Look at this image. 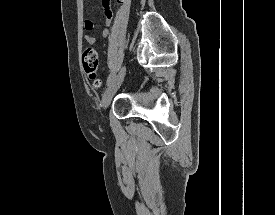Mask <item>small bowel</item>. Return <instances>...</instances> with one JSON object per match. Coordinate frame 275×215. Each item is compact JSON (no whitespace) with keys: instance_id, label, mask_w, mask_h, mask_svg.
Returning <instances> with one entry per match:
<instances>
[{"instance_id":"1","label":"small bowel","mask_w":275,"mask_h":215,"mask_svg":"<svg viewBox=\"0 0 275 215\" xmlns=\"http://www.w3.org/2000/svg\"><path fill=\"white\" fill-rule=\"evenodd\" d=\"M103 8H104V15L106 18V25H109L113 14L109 8L110 0H102ZM84 27L86 28L87 32L84 35V40L88 44H96L98 42H101L105 40L109 35V30L107 28H104L99 36H95L93 34V29L95 27L94 23L90 20H86L84 22Z\"/></svg>"}]
</instances>
